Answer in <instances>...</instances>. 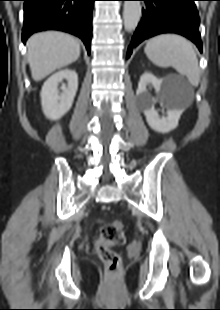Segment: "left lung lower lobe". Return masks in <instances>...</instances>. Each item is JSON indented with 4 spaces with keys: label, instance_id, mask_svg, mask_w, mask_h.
Here are the masks:
<instances>
[{
    "label": "left lung lower lobe",
    "instance_id": "1",
    "mask_svg": "<svg viewBox=\"0 0 220 310\" xmlns=\"http://www.w3.org/2000/svg\"><path fill=\"white\" fill-rule=\"evenodd\" d=\"M143 17L132 37L127 58L142 41L162 33H176L194 42L202 52L196 0H139Z\"/></svg>",
    "mask_w": 220,
    "mask_h": 310
}]
</instances>
